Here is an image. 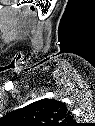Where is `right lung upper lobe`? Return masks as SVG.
I'll return each mask as SVG.
<instances>
[{"label": "right lung upper lobe", "mask_w": 95, "mask_h": 126, "mask_svg": "<svg viewBox=\"0 0 95 126\" xmlns=\"http://www.w3.org/2000/svg\"><path fill=\"white\" fill-rule=\"evenodd\" d=\"M16 126H73V115L65 103L55 99H41L6 115Z\"/></svg>", "instance_id": "cb5924a9"}]
</instances>
